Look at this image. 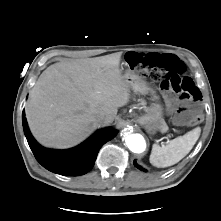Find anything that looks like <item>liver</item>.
<instances>
[{
    "label": "liver",
    "mask_w": 221,
    "mask_h": 221,
    "mask_svg": "<svg viewBox=\"0 0 221 221\" xmlns=\"http://www.w3.org/2000/svg\"><path fill=\"white\" fill-rule=\"evenodd\" d=\"M121 53L59 62L38 78L26 106L36 140L46 147L70 148L101 125H109L130 99L120 69ZM104 114L102 122L96 116Z\"/></svg>",
    "instance_id": "liver-1"
}]
</instances>
